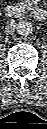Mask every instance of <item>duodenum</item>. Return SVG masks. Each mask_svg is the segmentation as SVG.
I'll return each instance as SVG.
<instances>
[{
	"label": "duodenum",
	"instance_id": "duodenum-1",
	"mask_svg": "<svg viewBox=\"0 0 47 129\" xmlns=\"http://www.w3.org/2000/svg\"><path fill=\"white\" fill-rule=\"evenodd\" d=\"M5 13L7 16H9L11 18H18L25 14V10L15 4H8L5 7ZM33 13H34V16L39 20L44 19L46 16L45 11L39 7H36L33 10Z\"/></svg>",
	"mask_w": 47,
	"mask_h": 129
}]
</instances>
